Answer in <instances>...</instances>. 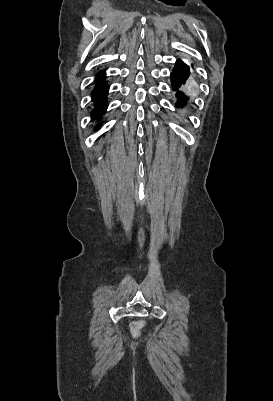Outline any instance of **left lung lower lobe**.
Masks as SVG:
<instances>
[{"mask_svg": "<svg viewBox=\"0 0 273 401\" xmlns=\"http://www.w3.org/2000/svg\"><path fill=\"white\" fill-rule=\"evenodd\" d=\"M190 76V67L181 59H178L176 65L171 73L172 88L176 91L178 99L177 106H184L188 100L183 91L180 90L186 83Z\"/></svg>", "mask_w": 273, "mask_h": 401, "instance_id": "1", "label": "left lung lower lobe"}]
</instances>
